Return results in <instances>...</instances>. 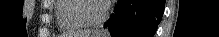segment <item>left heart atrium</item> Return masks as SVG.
Returning <instances> with one entry per match:
<instances>
[{"mask_svg":"<svg viewBox=\"0 0 219 37\" xmlns=\"http://www.w3.org/2000/svg\"><path fill=\"white\" fill-rule=\"evenodd\" d=\"M110 1H108V0H104V1H102V3H109Z\"/></svg>","mask_w":219,"mask_h":37,"instance_id":"39dd6f15","label":"left heart atrium"}]
</instances>
